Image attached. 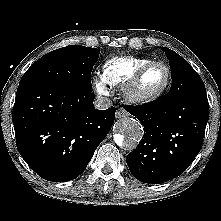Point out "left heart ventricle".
<instances>
[{"label":"left heart ventricle","instance_id":"left-heart-ventricle-1","mask_svg":"<svg viewBox=\"0 0 221 221\" xmlns=\"http://www.w3.org/2000/svg\"><path fill=\"white\" fill-rule=\"evenodd\" d=\"M165 80V68L160 65L154 66L143 76L139 89L144 93L153 92L159 89L164 84Z\"/></svg>","mask_w":221,"mask_h":221}]
</instances>
